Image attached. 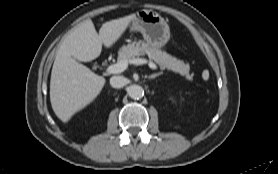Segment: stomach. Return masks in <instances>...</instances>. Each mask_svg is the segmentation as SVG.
I'll return each instance as SVG.
<instances>
[{"label":"stomach","instance_id":"0dacf381","mask_svg":"<svg viewBox=\"0 0 278 174\" xmlns=\"http://www.w3.org/2000/svg\"><path fill=\"white\" fill-rule=\"evenodd\" d=\"M131 30L140 32L145 43L156 49L163 47L170 39L167 21L152 10H141L135 13Z\"/></svg>","mask_w":278,"mask_h":174}]
</instances>
